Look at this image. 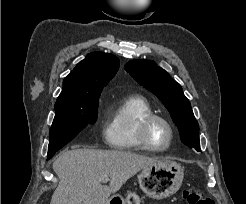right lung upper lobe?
<instances>
[{"label": "right lung upper lobe", "mask_w": 246, "mask_h": 204, "mask_svg": "<svg viewBox=\"0 0 246 204\" xmlns=\"http://www.w3.org/2000/svg\"><path fill=\"white\" fill-rule=\"evenodd\" d=\"M119 59L108 53L92 52L67 75L56 103L77 101L100 95L103 87L114 77Z\"/></svg>", "instance_id": "1"}]
</instances>
